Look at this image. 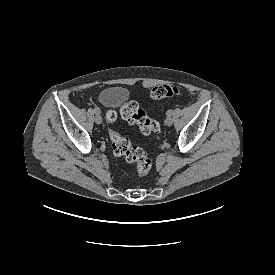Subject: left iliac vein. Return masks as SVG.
Returning a JSON list of instances; mask_svg holds the SVG:
<instances>
[{"label":"left iliac vein","instance_id":"4c4485c4","mask_svg":"<svg viewBox=\"0 0 275 275\" xmlns=\"http://www.w3.org/2000/svg\"><path fill=\"white\" fill-rule=\"evenodd\" d=\"M165 124L167 126H171L173 124V119L170 116H168L165 120Z\"/></svg>","mask_w":275,"mask_h":275}]
</instances>
